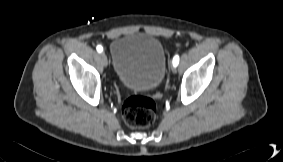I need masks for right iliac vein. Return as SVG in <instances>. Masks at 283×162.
Segmentation results:
<instances>
[{
	"label": "right iliac vein",
	"instance_id": "obj_1",
	"mask_svg": "<svg viewBox=\"0 0 283 162\" xmlns=\"http://www.w3.org/2000/svg\"><path fill=\"white\" fill-rule=\"evenodd\" d=\"M102 63L106 67L108 65V59L104 52L101 53Z\"/></svg>",
	"mask_w": 283,
	"mask_h": 162
}]
</instances>
